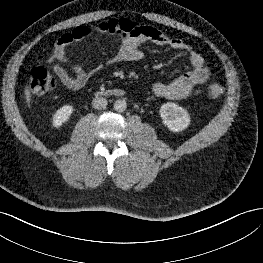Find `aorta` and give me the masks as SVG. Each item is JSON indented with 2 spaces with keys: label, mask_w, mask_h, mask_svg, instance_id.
I'll use <instances>...</instances> for the list:
<instances>
[{
  "label": "aorta",
  "mask_w": 263,
  "mask_h": 263,
  "mask_svg": "<svg viewBox=\"0 0 263 263\" xmlns=\"http://www.w3.org/2000/svg\"><path fill=\"white\" fill-rule=\"evenodd\" d=\"M127 108V103L124 99H118L114 103V109L117 112H124Z\"/></svg>",
  "instance_id": "1"
}]
</instances>
